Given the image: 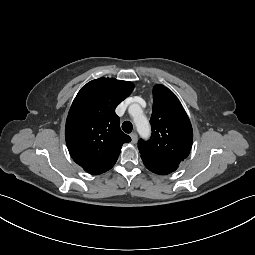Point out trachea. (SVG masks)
Returning <instances> with one entry per match:
<instances>
[{
  "label": "trachea",
  "instance_id": "1",
  "mask_svg": "<svg viewBox=\"0 0 255 255\" xmlns=\"http://www.w3.org/2000/svg\"><path fill=\"white\" fill-rule=\"evenodd\" d=\"M122 129L125 133H131L132 129H133V125L131 122L129 121H125L123 124H122Z\"/></svg>",
  "mask_w": 255,
  "mask_h": 255
}]
</instances>
